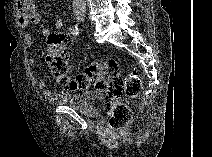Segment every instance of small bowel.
Returning a JSON list of instances; mask_svg holds the SVG:
<instances>
[{"label": "small bowel", "instance_id": "small-bowel-1", "mask_svg": "<svg viewBox=\"0 0 212 157\" xmlns=\"http://www.w3.org/2000/svg\"><path fill=\"white\" fill-rule=\"evenodd\" d=\"M18 25L25 29L30 24H38L41 20L40 14L37 12L36 7L32 1H23L18 4ZM64 26V21L62 18H58L55 21V28L62 29ZM43 36L47 37L51 34V30L49 28H44L42 31ZM25 42L28 47H32L34 43L33 36L30 33L25 34ZM28 63L33 65L35 63L34 58H29ZM37 88L43 91L44 98L50 104H61L64 103L68 99V93L62 91L58 94L53 93L51 90L47 88V83L45 79H40L37 82Z\"/></svg>", "mask_w": 212, "mask_h": 157}]
</instances>
